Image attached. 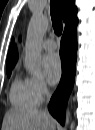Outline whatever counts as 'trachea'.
Instances as JSON below:
<instances>
[{
    "label": "trachea",
    "instance_id": "obj_1",
    "mask_svg": "<svg viewBox=\"0 0 95 130\" xmlns=\"http://www.w3.org/2000/svg\"><path fill=\"white\" fill-rule=\"evenodd\" d=\"M50 13H51V19H52V25H53L54 32L57 35H61L62 17H61V12H60V9L58 7L56 0L50 1Z\"/></svg>",
    "mask_w": 95,
    "mask_h": 130
}]
</instances>
